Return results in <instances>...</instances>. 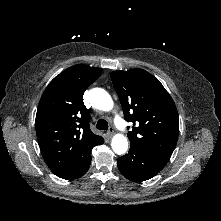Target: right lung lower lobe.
<instances>
[{
  "mask_svg": "<svg viewBox=\"0 0 221 221\" xmlns=\"http://www.w3.org/2000/svg\"><path fill=\"white\" fill-rule=\"evenodd\" d=\"M91 159L92 158L90 155L87 158H85L84 160H82L81 162L74 164L73 166H71L70 168L65 170L64 172L57 174V176L60 178L66 179V180H73V179L80 178L89 169L90 164H91Z\"/></svg>",
  "mask_w": 221,
  "mask_h": 221,
  "instance_id": "obj_1",
  "label": "right lung lower lobe"
}]
</instances>
